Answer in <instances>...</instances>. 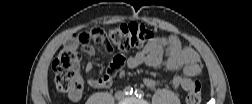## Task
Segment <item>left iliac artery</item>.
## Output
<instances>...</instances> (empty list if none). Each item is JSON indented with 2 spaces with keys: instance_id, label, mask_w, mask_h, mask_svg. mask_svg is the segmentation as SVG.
I'll use <instances>...</instances> for the list:
<instances>
[{
  "instance_id": "obj_1",
  "label": "left iliac artery",
  "mask_w": 252,
  "mask_h": 104,
  "mask_svg": "<svg viewBox=\"0 0 252 104\" xmlns=\"http://www.w3.org/2000/svg\"><path fill=\"white\" fill-rule=\"evenodd\" d=\"M135 95H136V97L141 98V97H144V92L141 89H136L135 90Z\"/></svg>"
}]
</instances>
